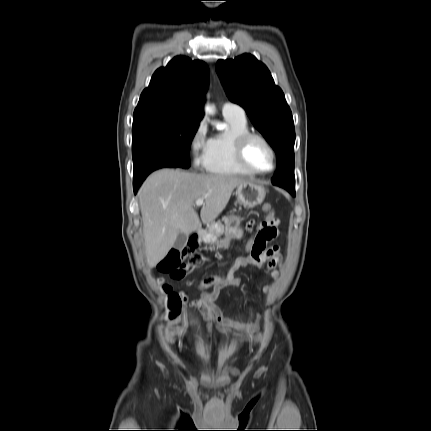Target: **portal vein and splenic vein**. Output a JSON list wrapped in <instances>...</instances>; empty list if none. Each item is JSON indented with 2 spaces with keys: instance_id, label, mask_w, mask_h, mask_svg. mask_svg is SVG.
Instances as JSON below:
<instances>
[{
  "instance_id": "obj_1",
  "label": "portal vein and splenic vein",
  "mask_w": 431,
  "mask_h": 431,
  "mask_svg": "<svg viewBox=\"0 0 431 431\" xmlns=\"http://www.w3.org/2000/svg\"><path fill=\"white\" fill-rule=\"evenodd\" d=\"M203 203H204L203 198H199V199H197V200H196V202H195L196 207H200V206H202V205H203Z\"/></svg>"
}]
</instances>
